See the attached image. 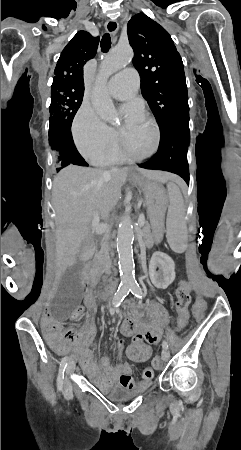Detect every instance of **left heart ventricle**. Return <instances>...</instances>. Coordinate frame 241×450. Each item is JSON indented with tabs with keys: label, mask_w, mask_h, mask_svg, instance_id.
Returning <instances> with one entry per match:
<instances>
[{
	"label": "left heart ventricle",
	"mask_w": 241,
	"mask_h": 450,
	"mask_svg": "<svg viewBox=\"0 0 241 450\" xmlns=\"http://www.w3.org/2000/svg\"><path fill=\"white\" fill-rule=\"evenodd\" d=\"M149 114H141L137 120L128 121L122 128L126 139L124 152L132 160H141L151 151L150 141L153 140L155 127Z\"/></svg>",
	"instance_id": "left-heart-ventricle-1"
}]
</instances>
